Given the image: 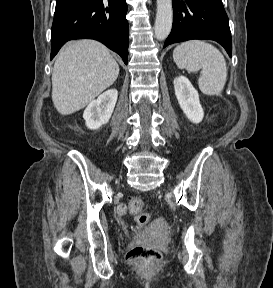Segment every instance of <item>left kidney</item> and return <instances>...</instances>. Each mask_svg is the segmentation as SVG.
<instances>
[{"mask_svg":"<svg viewBox=\"0 0 273 288\" xmlns=\"http://www.w3.org/2000/svg\"><path fill=\"white\" fill-rule=\"evenodd\" d=\"M174 89L178 103L186 117L193 123H200L204 117V111L199 101V94L189 79L185 76L176 77Z\"/></svg>","mask_w":273,"mask_h":288,"instance_id":"left-kidney-1","label":"left kidney"}]
</instances>
